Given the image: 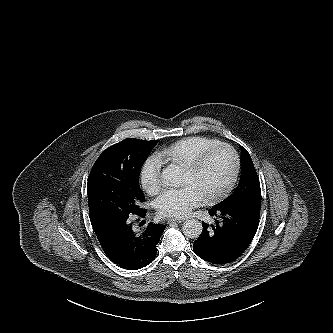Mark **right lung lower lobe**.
I'll use <instances>...</instances> for the list:
<instances>
[{
  "instance_id": "obj_1",
  "label": "right lung lower lobe",
  "mask_w": 333,
  "mask_h": 333,
  "mask_svg": "<svg viewBox=\"0 0 333 333\" xmlns=\"http://www.w3.org/2000/svg\"><path fill=\"white\" fill-rule=\"evenodd\" d=\"M136 215L143 217L146 210L141 209ZM165 228V225L152 224L143 232L136 233L129 220L108 221L93 226L106 255L115 264L130 270L143 268L154 260L156 245Z\"/></svg>"
}]
</instances>
